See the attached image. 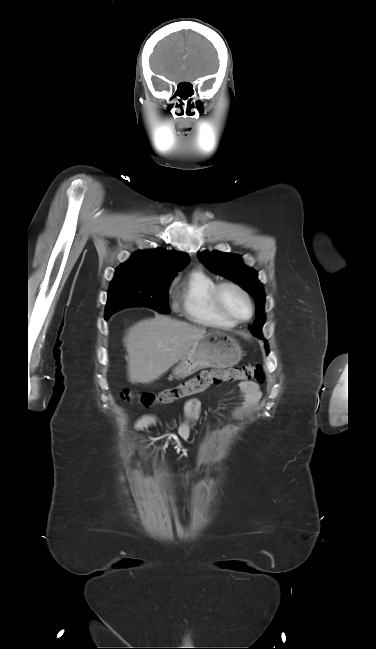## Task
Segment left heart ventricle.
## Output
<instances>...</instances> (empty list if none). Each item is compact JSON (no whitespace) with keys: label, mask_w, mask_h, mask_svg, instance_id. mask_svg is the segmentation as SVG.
I'll return each mask as SVG.
<instances>
[{"label":"left heart ventricle","mask_w":376,"mask_h":649,"mask_svg":"<svg viewBox=\"0 0 376 649\" xmlns=\"http://www.w3.org/2000/svg\"><path fill=\"white\" fill-rule=\"evenodd\" d=\"M224 302L228 310L239 318H244L249 313V307L245 299L236 291L226 289L223 292Z\"/></svg>","instance_id":"left-heart-ventricle-1"}]
</instances>
